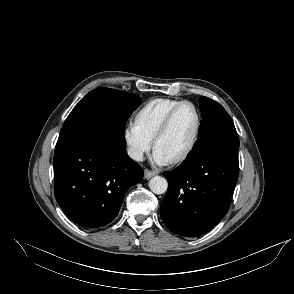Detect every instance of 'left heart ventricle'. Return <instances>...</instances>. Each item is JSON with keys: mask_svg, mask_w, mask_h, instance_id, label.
Wrapping results in <instances>:
<instances>
[{"mask_svg": "<svg viewBox=\"0 0 294 294\" xmlns=\"http://www.w3.org/2000/svg\"><path fill=\"white\" fill-rule=\"evenodd\" d=\"M196 127V115L192 107L185 105L174 116L167 132L156 147L170 160L181 154L192 139Z\"/></svg>", "mask_w": 294, "mask_h": 294, "instance_id": "left-heart-ventricle-1", "label": "left heart ventricle"}]
</instances>
